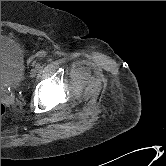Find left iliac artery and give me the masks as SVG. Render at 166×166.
I'll return each mask as SVG.
<instances>
[{"mask_svg":"<svg viewBox=\"0 0 166 166\" xmlns=\"http://www.w3.org/2000/svg\"><path fill=\"white\" fill-rule=\"evenodd\" d=\"M35 68H36L37 70H39V69L41 68V65L37 63V64L35 65Z\"/></svg>","mask_w":166,"mask_h":166,"instance_id":"left-iliac-artery-1","label":"left iliac artery"}]
</instances>
